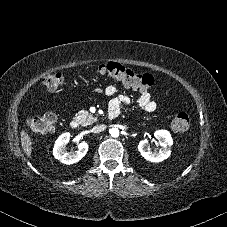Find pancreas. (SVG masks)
<instances>
[{
	"instance_id": "1",
	"label": "pancreas",
	"mask_w": 227,
	"mask_h": 227,
	"mask_svg": "<svg viewBox=\"0 0 227 227\" xmlns=\"http://www.w3.org/2000/svg\"><path fill=\"white\" fill-rule=\"evenodd\" d=\"M76 118L81 121L83 126L92 124L97 120L91 113L86 110H81L76 114Z\"/></svg>"
}]
</instances>
